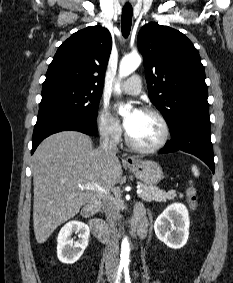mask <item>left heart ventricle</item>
Segmentation results:
<instances>
[{"mask_svg":"<svg viewBox=\"0 0 233 283\" xmlns=\"http://www.w3.org/2000/svg\"><path fill=\"white\" fill-rule=\"evenodd\" d=\"M130 116L131 113L127 118ZM128 133L138 144L152 146L160 141L163 129L160 121L154 115L141 111L134 118Z\"/></svg>","mask_w":233,"mask_h":283,"instance_id":"b2bd125f","label":"left heart ventricle"}]
</instances>
